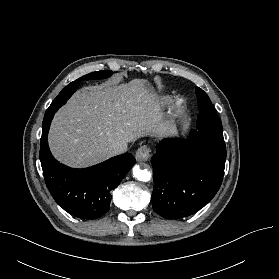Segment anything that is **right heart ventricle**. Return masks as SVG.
<instances>
[{
  "label": "right heart ventricle",
  "mask_w": 279,
  "mask_h": 279,
  "mask_svg": "<svg viewBox=\"0 0 279 279\" xmlns=\"http://www.w3.org/2000/svg\"><path fill=\"white\" fill-rule=\"evenodd\" d=\"M171 98L170 97H165L162 101H161V105L165 106L170 102Z\"/></svg>",
  "instance_id": "1"
}]
</instances>
